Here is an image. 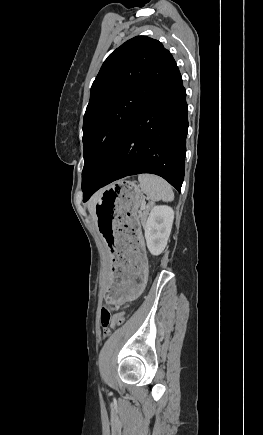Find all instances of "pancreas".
Instances as JSON below:
<instances>
[{
    "label": "pancreas",
    "instance_id": "obj_1",
    "mask_svg": "<svg viewBox=\"0 0 263 435\" xmlns=\"http://www.w3.org/2000/svg\"><path fill=\"white\" fill-rule=\"evenodd\" d=\"M151 207H152V204L149 203L146 205L145 209L139 213V218H140L143 226L145 225V222H146V219H147V216L149 214V210L151 209Z\"/></svg>",
    "mask_w": 263,
    "mask_h": 435
}]
</instances>
